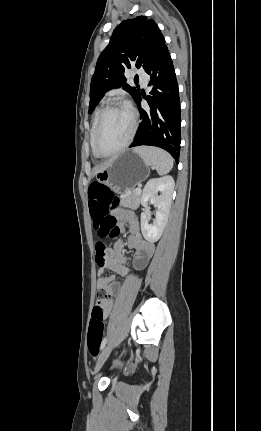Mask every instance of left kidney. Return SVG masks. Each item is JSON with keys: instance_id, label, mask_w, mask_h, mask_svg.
Returning a JSON list of instances; mask_svg holds the SVG:
<instances>
[{"instance_id": "1", "label": "left kidney", "mask_w": 261, "mask_h": 431, "mask_svg": "<svg viewBox=\"0 0 261 431\" xmlns=\"http://www.w3.org/2000/svg\"><path fill=\"white\" fill-rule=\"evenodd\" d=\"M174 190V180L171 176L151 179L143 189L141 203L145 207L148 202L157 208L156 218L153 224L149 223L147 213L141 214V231L143 237L149 242H156L160 239L167 224L172 194ZM158 192H161L158 195Z\"/></svg>"}]
</instances>
